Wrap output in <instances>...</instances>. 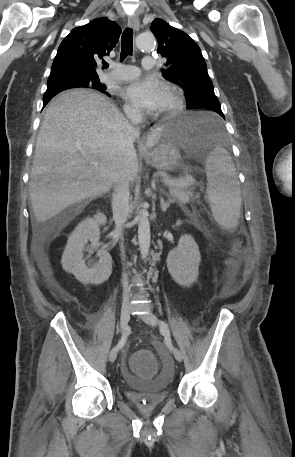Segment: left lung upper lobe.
Returning <instances> with one entry per match:
<instances>
[{
	"label": "left lung upper lobe",
	"instance_id": "5c2ea615",
	"mask_svg": "<svg viewBox=\"0 0 295 457\" xmlns=\"http://www.w3.org/2000/svg\"><path fill=\"white\" fill-rule=\"evenodd\" d=\"M150 29L158 39V53L167 60L163 77L184 90L188 106L193 107L201 100L218 101L205 60L194 40L159 18L151 23Z\"/></svg>",
	"mask_w": 295,
	"mask_h": 457
}]
</instances>
